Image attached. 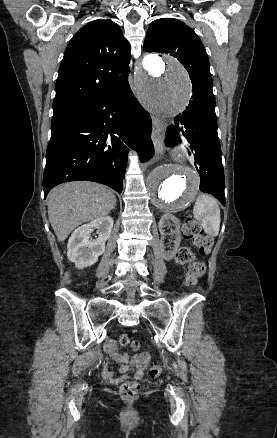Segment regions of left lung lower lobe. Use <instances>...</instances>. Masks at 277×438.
<instances>
[{
	"mask_svg": "<svg viewBox=\"0 0 277 438\" xmlns=\"http://www.w3.org/2000/svg\"><path fill=\"white\" fill-rule=\"evenodd\" d=\"M179 124L183 125L181 129ZM180 136L186 138L195 151L200 190L212 194L225 205V181L217 134L215 98L202 102L191 100L183 114L176 117L175 126L167 129L165 143L168 146L177 145L181 142Z\"/></svg>",
	"mask_w": 277,
	"mask_h": 438,
	"instance_id": "0a47b994",
	"label": "left lung lower lobe"
}]
</instances>
